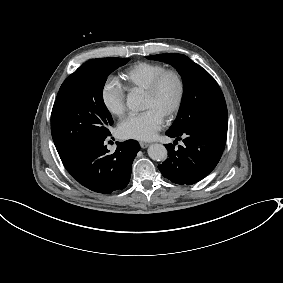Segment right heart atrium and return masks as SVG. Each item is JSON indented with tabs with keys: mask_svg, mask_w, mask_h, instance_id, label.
<instances>
[{
	"mask_svg": "<svg viewBox=\"0 0 283 283\" xmlns=\"http://www.w3.org/2000/svg\"><path fill=\"white\" fill-rule=\"evenodd\" d=\"M101 100L107 111L117 117L125 113V87L115 77L106 79L101 86Z\"/></svg>",
	"mask_w": 283,
	"mask_h": 283,
	"instance_id": "1",
	"label": "right heart atrium"
}]
</instances>
